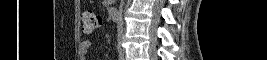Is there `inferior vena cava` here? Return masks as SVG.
I'll return each mask as SVG.
<instances>
[{
  "mask_svg": "<svg viewBox=\"0 0 267 60\" xmlns=\"http://www.w3.org/2000/svg\"><path fill=\"white\" fill-rule=\"evenodd\" d=\"M119 20H118V36H122L123 34V19H122V8L119 9L118 12ZM122 54V50L119 51Z\"/></svg>",
  "mask_w": 267,
  "mask_h": 60,
  "instance_id": "inferior-vena-cava-1",
  "label": "inferior vena cava"
}]
</instances>
